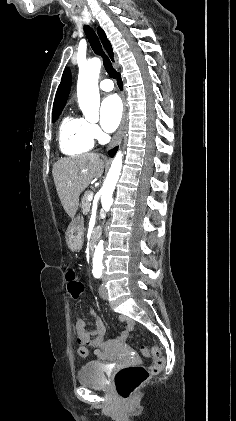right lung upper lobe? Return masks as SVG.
I'll list each match as a JSON object with an SVG mask.
<instances>
[{
    "instance_id": "1",
    "label": "right lung upper lobe",
    "mask_w": 236,
    "mask_h": 421,
    "mask_svg": "<svg viewBox=\"0 0 236 421\" xmlns=\"http://www.w3.org/2000/svg\"><path fill=\"white\" fill-rule=\"evenodd\" d=\"M98 35L101 39L103 46L105 47L106 51L108 52L110 58L113 60V50L112 46L107 39L105 32L102 28H97ZM71 88V73L70 69L66 68L61 79V83L57 89V93L54 100L53 111L58 109H63L68 98L69 92Z\"/></svg>"
}]
</instances>
